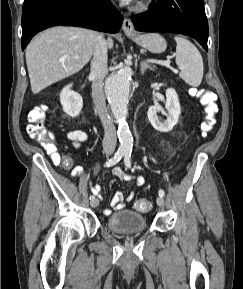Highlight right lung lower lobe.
<instances>
[{
    "label": "right lung lower lobe",
    "mask_w": 243,
    "mask_h": 289,
    "mask_svg": "<svg viewBox=\"0 0 243 289\" xmlns=\"http://www.w3.org/2000/svg\"><path fill=\"white\" fill-rule=\"evenodd\" d=\"M122 22V15L110 0H24L22 49L35 34L52 26H80L116 33Z\"/></svg>",
    "instance_id": "98d812e1"
}]
</instances>
